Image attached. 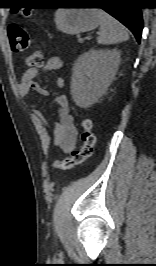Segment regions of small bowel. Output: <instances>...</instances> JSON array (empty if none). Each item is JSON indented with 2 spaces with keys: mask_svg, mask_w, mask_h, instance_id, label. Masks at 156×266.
Wrapping results in <instances>:
<instances>
[{
  "mask_svg": "<svg viewBox=\"0 0 156 266\" xmlns=\"http://www.w3.org/2000/svg\"><path fill=\"white\" fill-rule=\"evenodd\" d=\"M62 67V61L58 57H51L41 65L27 69L19 84L20 94L23 96L29 95L31 92L47 96L48 91L43 89L35 78L39 71H57ZM57 88L61 89L65 85L62 77H57L55 80ZM58 107V119L54 122L53 143L66 153H70L77 147V129L74 125L73 117L70 113L68 98L64 94H59L55 97ZM33 114L43 123L45 119L36 104L32 105Z\"/></svg>",
  "mask_w": 156,
  "mask_h": 266,
  "instance_id": "c3829d8e",
  "label": "small bowel"
}]
</instances>
